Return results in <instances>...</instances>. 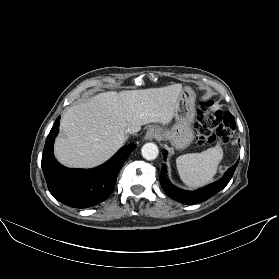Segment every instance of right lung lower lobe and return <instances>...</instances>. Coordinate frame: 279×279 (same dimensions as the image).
<instances>
[{"instance_id":"right-lung-lower-lobe-1","label":"right lung lower lobe","mask_w":279,"mask_h":279,"mask_svg":"<svg viewBox=\"0 0 279 279\" xmlns=\"http://www.w3.org/2000/svg\"><path fill=\"white\" fill-rule=\"evenodd\" d=\"M59 121L60 116L47 137L42 155V169L50 193L58 201L74 208H87L106 200L115 187L122 165L136 146L122 147L108 162L94 169L67 168L53 154Z\"/></svg>"}]
</instances>
